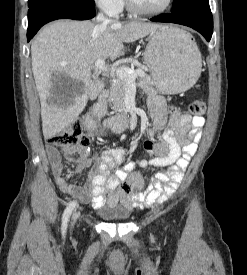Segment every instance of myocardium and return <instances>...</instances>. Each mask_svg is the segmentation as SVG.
Returning a JSON list of instances; mask_svg holds the SVG:
<instances>
[{"label": "myocardium", "mask_w": 247, "mask_h": 275, "mask_svg": "<svg viewBox=\"0 0 247 275\" xmlns=\"http://www.w3.org/2000/svg\"><path fill=\"white\" fill-rule=\"evenodd\" d=\"M125 1L130 12L136 15H145V16H152V15H158V14L164 13L171 7L173 3V0H167V2L163 7L159 9L149 10V9H144L140 7L135 0H125Z\"/></svg>", "instance_id": "myocardium-1"}]
</instances>
